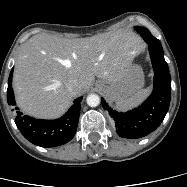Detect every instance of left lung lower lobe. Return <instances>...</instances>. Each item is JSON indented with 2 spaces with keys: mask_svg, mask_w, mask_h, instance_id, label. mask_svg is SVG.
<instances>
[{
  "mask_svg": "<svg viewBox=\"0 0 187 187\" xmlns=\"http://www.w3.org/2000/svg\"><path fill=\"white\" fill-rule=\"evenodd\" d=\"M154 69V89L138 108L126 113L112 110L102 98V106L115 122L120 137L137 139L153 132L164 120L171 100V76L163 49L155 37H145Z\"/></svg>",
  "mask_w": 187,
  "mask_h": 187,
  "instance_id": "1",
  "label": "left lung lower lobe"
}]
</instances>
